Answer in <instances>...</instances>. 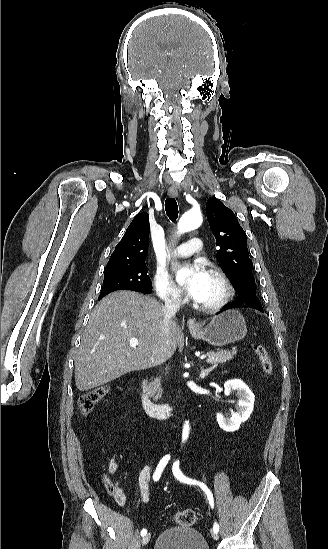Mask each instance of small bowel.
I'll list each match as a JSON object with an SVG mask.
<instances>
[{"mask_svg": "<svg viewBox=\"0 0 328 549\" xmlns=\"http://www.w3.org/2000/svg\"><path fill=\"white\" fill-rule=\"evenodd\" d=\"M119 464L114 459L111 458L107 465V472L110 475H115L118 472ZM151 480V466L146 465L142 468L138 476V482L140 486V497L143 501H147L149 498V485ZM105 487L108 493L114 498L115 502L124 506L128 504V498L124 492L121 482L113 483L108 478L104 479Z\"/></svg>", "mask_w": 328, "mask_h": 549, "instance_id": "1", "label": "small bowel"}]
</instances>
